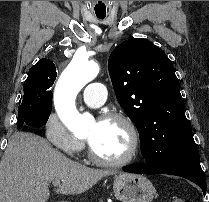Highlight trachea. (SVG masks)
<instances>
[{
  "label": "trachea",
  "instance_id": "3493384b",
  "mask_svg": "<svg viewBox=\"0 0 209 202\" xmlns=\"http://www.w3.org/2000/svg\"><path fill=\"white\" fill-rule=\"evenodd\" d=\"M97 16V18H99V19H104L105 18V15H96Z\"/></svg>",
  "mask_w": 209,
  "mask_h": 202
}]
</instances>
